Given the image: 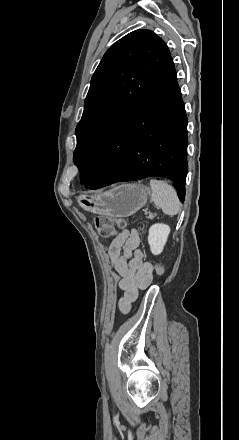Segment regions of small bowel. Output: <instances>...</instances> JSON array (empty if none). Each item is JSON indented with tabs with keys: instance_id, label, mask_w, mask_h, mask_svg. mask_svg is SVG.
<instances>
[{
	"instance_id": "small-bowel-1",
	"label": "small bowel",
	"mask_w": 239,
	"mask_h": 440,
	"mask_svg": "<svg viewBox=\"0 0 239 440\" xmlns=\"http://www.w3.org/2000/svg\"><path fill=\"white\" fill-rule=\"evenodd\" d=\"M136 229L123 230L111 242L108 255L112 269L120 276L119 287L123 296L119 308L123 313L130 310L139 290L147 288L153 279V265L144 261Z\"/></svg>"
}]
</instances>
